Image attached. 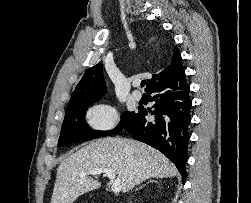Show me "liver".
<instances>
[{
  "instance_id": "6515ba94",
  "label": "liver",
  "mask_w": 251,
  "mask_h": 203,
  "mask_svg": "<svg viewBox=\"0 0 251 203\" xmlns=\"http://www.w3.org/2000/svg\"><path fill=\"white\" fill-rule=\"evenodd\" d=\"M96 168L112 169L128 192L149 178L177 174L173 164L156 149L123 138H101L65 158L57 169L51 203H73L76 198L100 187V182L82 174Z\"/></svg>"
}]
</instances>
